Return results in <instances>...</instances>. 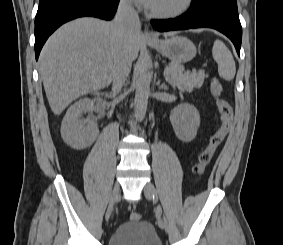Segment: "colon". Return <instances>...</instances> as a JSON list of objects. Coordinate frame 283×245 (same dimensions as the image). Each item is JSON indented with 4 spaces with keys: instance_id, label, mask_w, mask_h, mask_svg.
<instances>
[{
    "instance_id": "5ec220e1",
    "label": "colon",
    "mask_w": 283,
    "mask_h": 245,
    "mask_svg": "<svg viewBox=\"0 0 283 245\" xmlns=\"http://www.w3.org/2000/svg\"><path fill=\"white\" fill-rule=\"evenodd\" d=\"M210 91L216 102L220 117V126L212 134L208 144L199 154L198 161L193 168V171L196 175H202L204 173L206 167L214 157L217 149L228 135L233 123V109L231 104L222 97L223 88L219 80H212ZM130 219L132 221H139L141 219V215L138 212H132L130 214Z\"/></svg>"
}]
</instances>
